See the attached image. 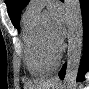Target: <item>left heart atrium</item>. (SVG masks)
Masks as SVG:
<instances>
[{
  "label": "left heart atrium",
  "mask_w": 89,
  "mask_h": 89,
  "mask_svg": "<svg viewBox=\"0 0 89 89\" xmlns=\"http://www.w3.org/2000/svg\"><path fill=\"white\" fill-rule=\"evenodd\" d=\"M51 15V37L55 42H57V44H61L66 35L65 19L63 13L59 9H54Z\"/></svg>",
  "instance_id": "1"
}]
</instances>
